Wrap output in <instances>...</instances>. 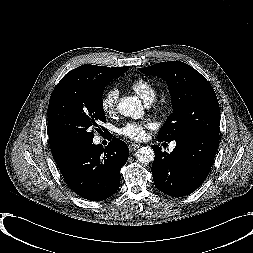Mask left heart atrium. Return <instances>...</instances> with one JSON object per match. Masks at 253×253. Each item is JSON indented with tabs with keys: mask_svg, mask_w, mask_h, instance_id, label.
Instances as JSON below:
<instances>
[{
	"mask_svg": "<svg viewBox=\"0 0 253 253\" xmlns=\"http://www.w3.org/2000/svg\"><path fill=\"white\" fill-rule=\"evenodd\" d=\"M152 126L151 122H128L121 129L120 133L134 141H141L147 136V129Z\"/></svg>",
	"mask_w": 253,
	"mask_h": 253,
	"instance_id": "1",
	"label": "left heart atrium"
}]
</instances>
